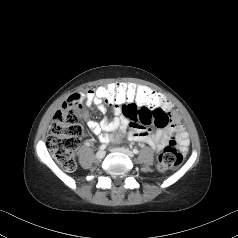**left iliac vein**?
<instances>
[{
    "label": "left iliac vein",
    "instance_id": "1",
    "mask_svg": "<svg viewBox=\"0 0 238 238\" xmlns=\"http://www.w3.org/2000/svg\"><path fill=\"white\" fill-rule=\"evenodd\" d=\"M112 151L121 152V153L127 155L130 158H132L134 156L133 152L130 151L129 149H126V148H114V149H112Z\"/></svg>",
    "mask_w": 238,
    "mask_h": 238
}]
</instances>
